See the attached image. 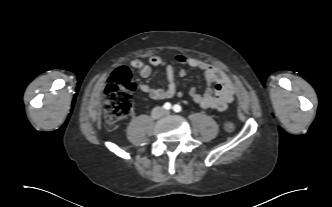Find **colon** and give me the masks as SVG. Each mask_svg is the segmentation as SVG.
Segmentation results:
<instances>
[{"label":"colon","instance_id":"1","mask_svg":"<svg viewBox=\"0 0 332 207\" xmlns=\"http://www.w3.org/2000/svg\"><path fill=\"white\" fill-rule=\"evenodd\" d=\"M137 84L133 80L132 71L126 67L116 69L110 76L105 87L103 112L107 125L115 128L119 121L126 117L133 104V93ZM235 126L232 122L224 125L226 132H232Z\"/></svg>","mask_w":332,"mask_h":207}]
</instances>
